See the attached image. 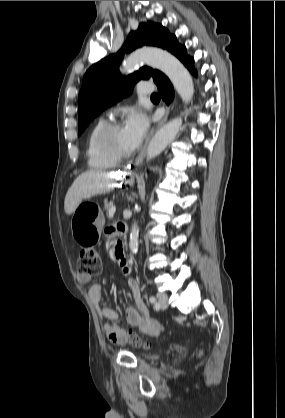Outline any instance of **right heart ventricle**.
<instances>
[{"label":"right heart ventricle","instance_id":"right-heart-ventricle-1","mask_svg":"<svg viewBox=\"0 0 285 418\" xmlns=\"http://www.w3.org/2000/svg\"><path fill=\"white\" fill-rule=\"evenodd\" d=\"M104 123L105 122L102 120L98 121L88 132L85 140V156L87 159V164L89 168L94 171L108 169L118 163L117 161L104 157L95 145V136Z\"/></svg>","mask_w":285,"mask_h":418}]
</instances>
